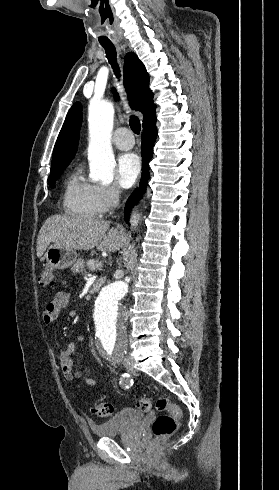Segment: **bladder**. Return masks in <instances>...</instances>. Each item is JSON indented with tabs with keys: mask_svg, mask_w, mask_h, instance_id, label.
I'll return each instance as SVG.
<instances>
[{
	"mask_svg": "<svg viewBox=\"0 0 279 490\" xmlns=\"http://www.w3.org/2000/svg\"><path fill=\"white\" fill-rule=\"evenodd\" d=\"M145 414L134 407H124L116 415L103 422L94 423L91 430L95 437H111L122 432H131L143 421Z\"/></svg>",
	"mask_w": 279,
	"mask_h": 490,
	"instance_id": "1",
	"label": "bladder"
}]
</instances>
